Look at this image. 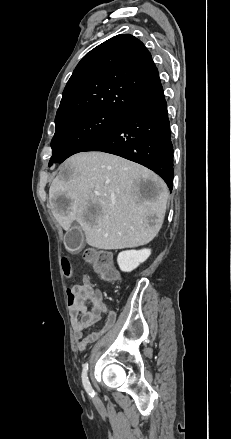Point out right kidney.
I'll list each match as a JSON object with an SVG mask.
<instances>
[{"instance_id":"1","label":"right kidney","mask_w":231,"mask_h":439,"mask_svg":"<svg viewBox=\"0 0 231 439\" xmlns=\"http://www.w3.org/2000/svg\"><path fill=\"white\" fill-rule=\"evenodd\" d=\"M150 254V249L123 251L119 253L117 262L121 271L131 272L146 261Z\"/></svg>"}]
</instances>
